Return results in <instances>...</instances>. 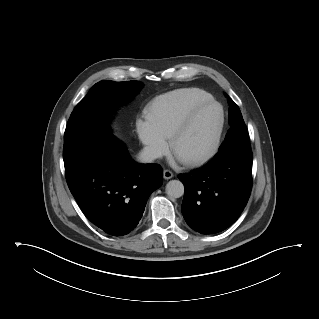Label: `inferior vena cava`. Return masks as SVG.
<instances>
[{
  "label": "inferior vena cava",
  "instance_id": "inferior-vena-cava-1",
  "mask_svg": "<svg viewBox=\"0 0 319 319\" xmlns=\"http://www.w3.org/2000/svg\"><path fill=\"white\" fill-rule=\"evenodd\" d=\"M161 157V152L153 147L146 146L139 153L138 159L142 163H151L153 160Z\"/></svg>",
  "mask_w": 319,
  "mask_h": 319
}]
</instances>
